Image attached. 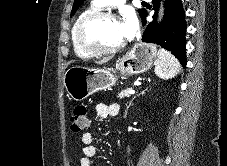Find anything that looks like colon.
Masks as SVG:
<instances>
[{
	"instance_id": "1",
	"label": "colon",
	"mask_w": 227,
	"mask_h": 166,
	"mask_svg": "<svg viewBox=\"0 0 227 166\" xmlns=\"http://www.w3.org/2000/svg\"><path fill=\"white\" fill-rule=\"evenodd\" d=\"M71 130L73 132H82L89 125L88 110L85 105H77L70 115Z\"/></svg>"
}]
</instances>
